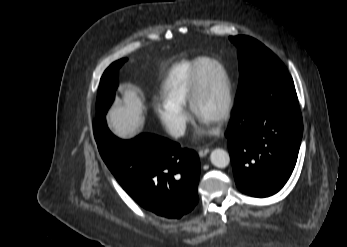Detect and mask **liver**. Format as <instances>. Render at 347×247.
Returning <instances> with one entry per match:
<instances>
[{
	"label": "liver",
	"instance_id": "obj_1",
	"mask_svg": "<svg viewBox=\"0 0 347 247\" xmlns=\"http://www.w3.org/2000/svg\"><path fill=\"white\" fill-rule=\"evenodd\" d=\"M145 111L143 94L132 86L124 87L122 99L107 116L110 130L120 139L135 137L143 129Z\"/></svg>",
	"mask_w": 347,
	"mask_h": 247
}]
</instances>
